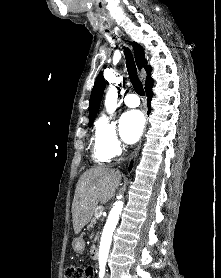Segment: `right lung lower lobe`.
I'll list each match as a JSON object with an SVG mask.
<instances>
[{
	"mask_svg": "<svg viewBox=\"0 0 221 278\" xmlns=\"http://www.w3.org/2000/svg\"><path fill=\"white\" fill-rule=\"evenodd\" d=\"M152 86H153V80H151L149 83H147L145 85V91L147 93V96H148V114L150 113V110H151V107H150V101H151V98L153 96V92H152ZM132 162L129 166V171L131 170L132 168Z\"/></svg>",
	"mask_w": 221,
	"mask_h": 278,
	"instance_id": "right-lung-lower-lobe-1",
	"label": "right lung lower lobe"
}]
</instances>
